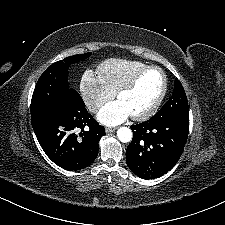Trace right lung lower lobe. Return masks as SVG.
Returning <instances> with one entry per match:
<instances>
[{
	"label": "right lung lower lobe",
	"mask_w": 225,
	"mask_h": 225,
	"mask_svg": "<svg viewBox=\"0 0 225 225\" xmlns=\"http://www.w3.org/2000/svg\"><path fill=\"white\" fill-rule=\"evenodd\" d=\"M31 121L46 155L70 171L83 169L95 160L98 142L105 135L104 127L88 113L80 95L31 114Z\"/></svg>",
	"instance_id": "98d812e1"
}]
</instances>
